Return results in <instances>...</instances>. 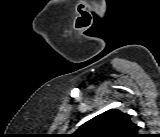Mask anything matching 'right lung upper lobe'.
I'll return each instance as SVG.
<instances>
[{"label": "right lung upper lobe", "instance_id": "cb5924a9", "mask_svg": "<svg viewBox=\"0 0 160 137\" xmlns=\"http://www.w3.org/2000/svg\"><path fill=\"white\" fill-rule=\"evenodd\" d=\"M138 126L130 116L117 109L108 110L81 125L78 137H137Z\"/></svg>", "mask_w": 160, "mask_h": 137}]
</instances>
